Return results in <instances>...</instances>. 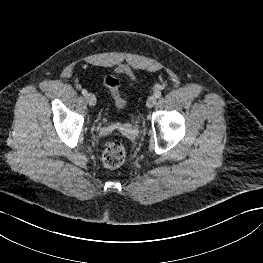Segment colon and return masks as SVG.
Returning a JSON list of instances; mask_svg holds the SVG:
<instances>
[{
  "instance_id": "colon-1",
  "label": "colon",
  "mask_w": 263,
  "mask_h": 263,
  "mask_svg": "<svg viewBox=\"0 0 263 263\" xmlns=\"http://www.w3.org/2000/svg\"><path fill=\"white\" fill-rule=\"evenodd\" d=\"M104 85L113 95L117 106L119 108L123 107L124 101L119 94V80L113 75H107L104 78ZM125 158V146L119 141L109 143L102 154L103 164L108 168H117L121 166L124 163Z\"/></svg>"
}]
</instances>
